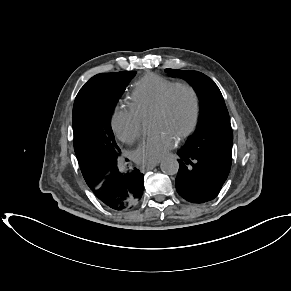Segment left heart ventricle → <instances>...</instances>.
Returning <instances> with one entry per match:
<instances>
[{"label":"left heart ventricle","instance_id":"obj_1","mask_svg":"<svg viewBox=\"0 0 291 291\" xmlns=\"http://www.w3.org/2000/svg\"><path fill=\"white\" fill-rule=\"evenodd\" d=\"M193 113L192 99L185 90L174 94L172 108L167 116H153L152 123L156 132H169L176 137L191 122Z\"/></svg>","mask_w":291,"mask_h":291}]
</instances>
